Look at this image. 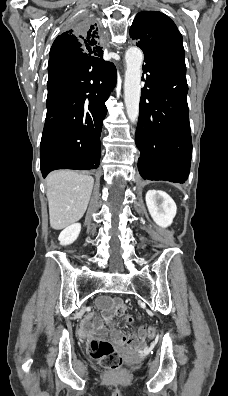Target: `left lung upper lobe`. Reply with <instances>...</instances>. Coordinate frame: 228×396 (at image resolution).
<instances>
[{"mask_svg": "<svg viewBox=\"0 0 228 396\" xmlns=\"http://www.w3.org/2000/svg\"><path fill=\"white\" fill-rule=\"evenodd\" d=\"M130 37L144 52L145 58L172 64L186 73L182 35L174 22L158 11L138 13L130 28Z\"/></svg>", "mask_w": 228, "mask_h": 396, "instance_id": "obj_1", "label": "left lung upper lobe"}]
</instances>
